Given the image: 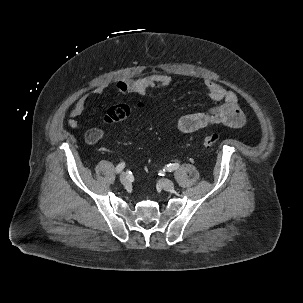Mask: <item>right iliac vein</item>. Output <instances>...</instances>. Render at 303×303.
I'll return each mask as SVG.
<instances>
[{"instance_id": "right-iliac-vein-1", "label": "right iliac vein", "mask_w": 303, "mask_h": 303, "mask_svg": "<svg viewBox=\"0 0 303 303\" xmlns=\"http://www.w3.org/2000/svg\"><path fill=\"white\" fill-rule=\"evenodd\" d=\"M120 182L123 184V185H127L129 183V178H128V175L125 174V173H122L120 175Z\"/></svg>"}]
</instances>
